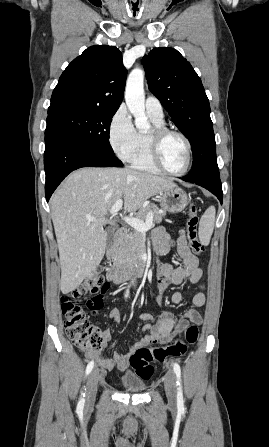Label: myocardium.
Here are the masks:
<instances>
[{"label":"myocardium","mask_w":269,"mask_h":447,"mask_svg":"<svg viewBox=\"0 0 269 447\" xmlns=\"http://www.w3.org/2000/svg\"><path fill=\"white\" fill-rule=\"evenodd\" d=\"M169 135L179 136L186 144L187 160L185 166L181 170H172L168 168L163 160L162 143ZM148 146L150 158L160 170L172 175H181L189 169L192 160V145L189 138L181 131L164 126H155L148 133Z\"/></svg>","instance_id":"myocardium-1"}]
</instances>
